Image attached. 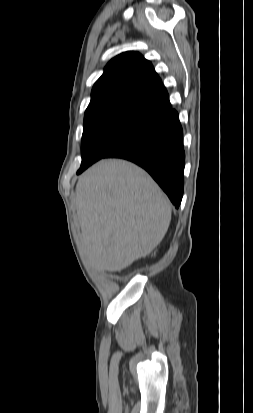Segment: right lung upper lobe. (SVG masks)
Instances as JSON below:
<instances>
[{
	"label": "right lung upper lobe",
	"instance_id": "right-lung-upper-lobe-1",
	"mask_svg": "<svg viewBox=\"0 0 253 413\" xmlns=\"http://www.w3.org/2000/svg\"><path fill=\"white\" fill-rule=\"evenodd\" d=\"M128 109L158 118L172 110L168 93L152 64L137 52L113 58L94 84L85 116Z\"/></svg>",
	"mask_w": 253,
	"mask_h": 413
}]
</instances>
